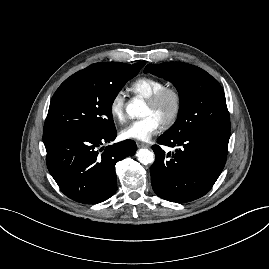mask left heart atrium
Returning a JSON list of instances; mask_svg holds the SVG:
<instances>
[{
  "instance_id": "1",
  "label": "left heart atrium",
  "mask_w": 269,
  "mask_h": 269,
  "mask_svg": "<svg viewBox=\"0 0 269 269\" xmlns=\"http://www.w3.org/2000/svg\"><path fill=\"white\" fill-rule=\"evenodd\" d=\"M162 127V123L153 115H146L126 125L120 132L123 139L148 141Z\"/></svg>"
}]
</instances>
